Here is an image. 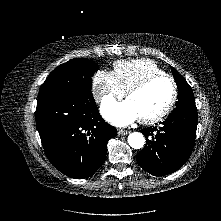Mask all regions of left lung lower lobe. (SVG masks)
<instances>
[{"label":"left lung lower lobe","instance_id":"0a47b994","mask_svg":"<svg viewBox=\"0 0 221 221\" xmlns=\"http://www.w3.org/2000/svg\"><path fill=\"white\" fill-rule=\"evenodd\" d=\"M197 122V110H178L160 126L144 128L146 144L137 154L138 165L154 176L178 170L194 148Z\"/></svg>","mask_w":221,"mask_h":221}]
</instances>
